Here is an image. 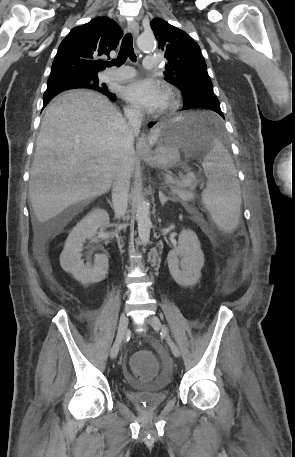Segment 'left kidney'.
Returning <instances> with one entry per match:
<instances>
[{"label": "left kidney", "mask_w": 295, "mask_h": 457, "mask_svg": "<svg viewBox=\"0 0 295 457\" xmlns=\"http://www.w3.org/2000/svg\"><path fill=\"white\" fill-rule=\"evenodd\" d=\"M167 262L171 276L180 286L192 287L198 282L204 266V254L192 230H182L178 246L169 252Z\"/></svg>", "instance_id": "left-kidney-1"}]
</instances>
